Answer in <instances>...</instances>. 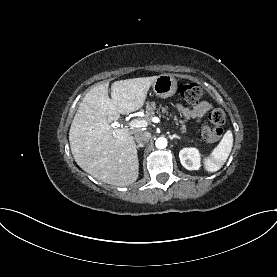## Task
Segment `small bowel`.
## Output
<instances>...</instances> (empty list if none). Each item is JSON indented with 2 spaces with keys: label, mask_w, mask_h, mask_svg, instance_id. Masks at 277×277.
Listing matches in <instances>:
<instances>
[{
  "label": "small bowel",
  "mask_w": 277,
  "mask_h": 277,
  "mask_svg": "<svg viewBox=\"0 0 277 277\" xmlns=\"http://www.w3.org/2000/svg\"><path fill=\"white\" fill-rule=\"evenodd\" d=\"M212 107L211 103L208 101H201L196 104L192 109L185 108L181 105H177V110L185 117V118H193V119H201L205 113L210 110Z\"/></svg>",
  "instance_id": "c3829d8e"
}]
</instances>
